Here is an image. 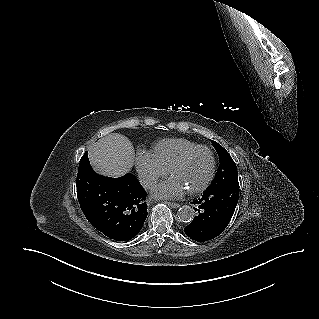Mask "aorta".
<instances>
[{"mask_svg":"<svg viewBox=\"0 0 319 319\" xmlns=\"http://www.w3.org/2000/svg\"><path fill=\"white\" fill-rule=\"evenodd\" d=\"M195 216L194 210L189 205H183L179 208L178 219L183 223H190Z\"/></svg>","mask_w":319,"mask_h":319,"instance_id":"aorta-1","label":"aorta"}]
</instances>
